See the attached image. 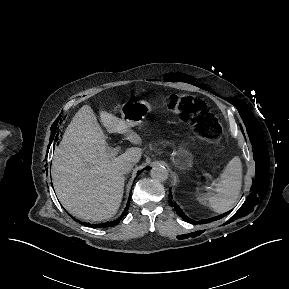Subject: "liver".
I'll list each match as a JSON object with an SVG mask.
<instances>
[{
    "instance_id": "obj_1",
    "label": "liver",
    "mask_w": 289,
    "mask_h": 289,
    "mask_svg": "<svg viewBox=\"0 0 289 289\" xmlns=\"http://www.w3.org/2000/svg\"><path fill=\"white\" fill-rule=\"evenodd\" d=\"M100 118L109 132L125 135L134 145L140 143L122 119L106 111H100ZM141 155L140 148L132 147L111 158L91 107L84 105L54 151L51 176L59 201L77 218L98 222L111 219L123 197L125 177L120 167L125 162L137 163Z\"/></svg>"
}]
</instances>
